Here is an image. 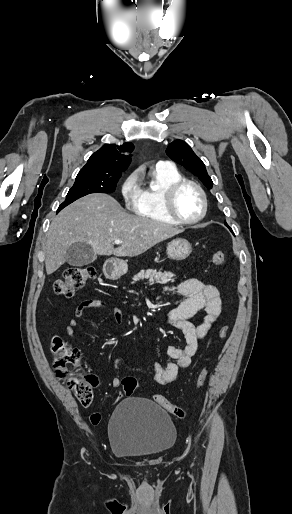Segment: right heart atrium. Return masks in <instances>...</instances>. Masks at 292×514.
I'll use <instances>...</instances> for the list:
<instances>
[{
    "instance_id": "right-heart-atrium-1",
    "label": "right heart atrium",
    "mask_w": 292,
    "mask_h": 514,
    "mask_svg": "<svg viewBox=\"0 0 292 514\" xmlns=\"http://www.w3.org/2000/svg\"><path fill=\"white\" fill-rule=\"evenodd\" d=\"M141 190L138 183V176L136 173H130L120 183V197L123 200V209H130L133 211L134 208L140 201Z\"/></svg>"
}]
</instances>
